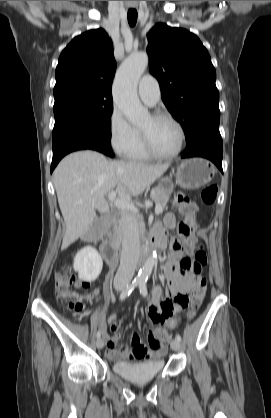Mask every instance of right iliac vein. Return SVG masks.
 <instances>
[{
    "label": "right iliac vein",
    "instance_id": "1",
    "mask_svg": "<svg viewBox=\"0 0 271 418\" xmlns=\"http://www.w3.org/2000/svg\"><path fill=\"white\" fill-rule=\"evenodd\" d=\"M117 289L120 290L121 287H118ZM96 346L98 349H102L104 347V339L99 337L96 341Z\"/></svg>",
    "mask_w": 271,
    "mask_h": 418
}]
</instances>
